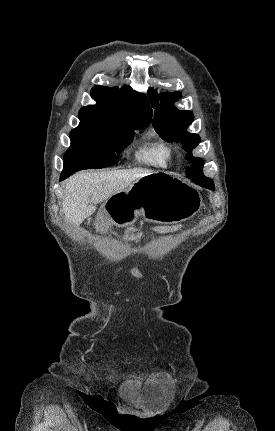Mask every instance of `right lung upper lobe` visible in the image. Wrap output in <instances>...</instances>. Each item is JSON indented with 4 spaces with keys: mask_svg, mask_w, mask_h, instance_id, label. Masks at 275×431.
Segmentation results:
<instances>
[{
    "mask_svg": "<svg viewBox=\"0 0 275 431\" xmlns=\"http://www.w3.org/2000/svg\"><path fill=\"white\" fill-rule=\"evenodd\" d=\"M95 106L89 105L79 111L82 121L115 120L128 126H142L151 122L152 109L144 94L130 86L105 87L97 85L91 90Z\"/></svg>",
    "mask_w": 275,
    "mask_h": 431,
    "instance_id": "obj_1",
    "label": "right lung upper lobe"
}]
</instances>
